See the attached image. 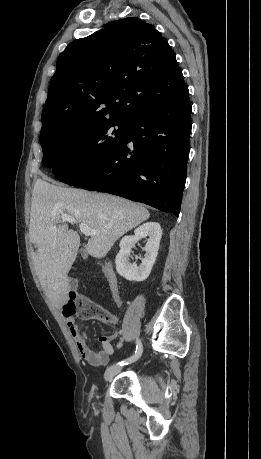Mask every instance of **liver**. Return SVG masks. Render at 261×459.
<instances>
[{
    "label": "liver",
    "instance_id": "1",
    "mask_svg": "<svg viewBox=\"0 0 261 459\" xmlns=\"http://www.w3.org/2000/svg\"><path fill=\"white\" fill-rule=\"evenodd\" d=\"M63 214L87 224L96 234L87 254L103 258L125 233L150 217L149 211L124 198L50 184L37 179L32 194L29 237L37 248L34 266L47 296L61 307L68 301V273L77 257L80 237L62 222ZM55 227V228H54Z\"/></svg>",
    "mask_w": 261,
    "mask_h": 459
}]
</instances>
